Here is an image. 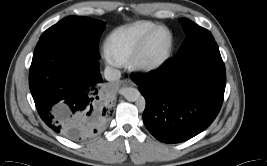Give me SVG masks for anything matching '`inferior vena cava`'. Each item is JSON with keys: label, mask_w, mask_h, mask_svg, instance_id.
Wrapping results in <instances>:
<instances>
[{"label": "inferior vena cava", "mask_w": 267, "mask_h": 166, "mask_svg": "<svg viewBox=\"0 0 267 166\" xmlns=\"http://www.w3.org/2000/svg\"><path fill=\"white\" fill-rule=\"evenodd\" d=\"M104 77L108 81H115L121 77V72L118 69L107 66L104 70Z\"/></svg>", "instance_id": "obj_1"}]
</instances>
